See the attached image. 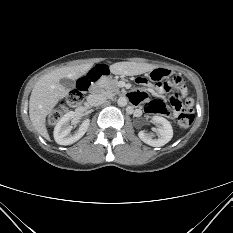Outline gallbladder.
Wrapping results in <instances>:
<instances>
[{"instance_id": "bac80fb5", "label": "gallbladder", "mask_w": 233, "mask_h": 233, "mask_svg": "<svg viewBox=\"0 0 233 233\" xmlns=\"http://www.w3.org/2000/svg\"><path fill=\"white\" fill-rule=\"evenodd\" d=\"M60 83L62 84V86H64L67 90H72L75 88L76 86V82L73 79H69V78H62L60 80Z\"/></svg>"}]
</instances>
